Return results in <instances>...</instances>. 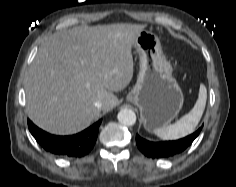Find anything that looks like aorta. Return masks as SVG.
<instances>
[{"instance_id": "1", "label": "aorta", "mask_w": 236, "mask_h": 187, "mask_svg": "<svg viewBox=\"0 0 236 187\" xmlns=\"http://www.w3.org/2000/svg\"><path fill=\"white\" fill-rule=\"evenodd\" d=\"M118 121L126 126L134 125L136 122V115L130 109H121L118 113Z\"/></svg>"}]
</instances>
